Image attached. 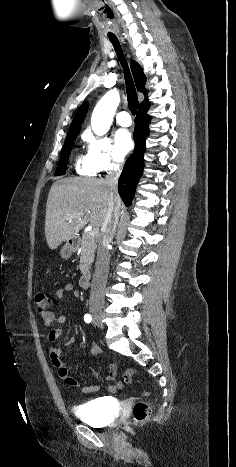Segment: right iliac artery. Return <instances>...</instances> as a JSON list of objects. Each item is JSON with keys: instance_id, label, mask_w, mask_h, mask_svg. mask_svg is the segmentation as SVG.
<instances>
[{"instance_id": "obj_1", "label": "right iliac artery", "mask_w": 236, "mask_h": 467, "mask_svg": "<svg viewBox=\"0 0 236 467\" xmlns=\"http://www.w3.org/2000/svg\"><path fill=\"white\" fill-rule=\"evenodd\" d=\"M84 321L90 323L92 321V316L90 314H85Z\"/></svg>"}]
</instances>
